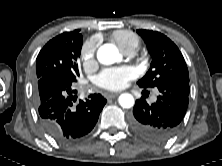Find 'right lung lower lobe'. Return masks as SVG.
<instances>
[{
    "mask_svg": "<svg viewBox=\"0 0 222 166\" xmlns=\"http://www.w3.org/2000/svg\"><path fill=\"white\" fill-rule=\"evenodd\" d=\"M75 81L61 73H49L37 79L36 101L45 131L60 142H69L88 134L106 104L100 94H91L75 106L72 102Z\"/></svg>",
    "mask_w": 222,
    "mask_h": 166,
    "instance_id": "obj_1",
    "label": "right lung lower lobe"
}]
</instances>
